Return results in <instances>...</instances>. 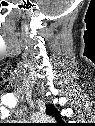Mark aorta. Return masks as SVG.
I'll return each instance as SVG.
<instances>
[{
  "mask_svg": "<svg viewBox=\"0 0 95 126\" xmlns=\"http://www.w3.org/2000/svg\"><path fill=\"white\" fill-rule=\"evenodd\" d=\"M32 120L37 122V123H45V122H51L53 119H51L47 115H41V114H35L32 116Z\"/></svg>",
  "mask_w": 95,
  "mask_h": 126,
  "instance_id": "1",
  "label": "aorta"
}]
</instances>
